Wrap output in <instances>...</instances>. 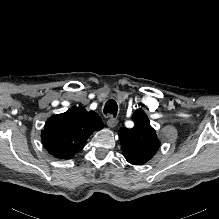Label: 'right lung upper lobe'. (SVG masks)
<instances>
[{
  "instance_id": "obj_1",
  "label": "right lung upper lobe",
  "mask_w": 219,
  "mask_h": 219,
  "mask_svg": "<svg viewBox=\"0 0 219 219\" xmlns=\"http://www.w3.org/2000/svg\"><path fill=\"white\" fill-rule=\"evenodd\" d=\"M104 124L99 115L73 106L66 112L51 116L41 132L47 152L59 159H70L83 149L86 140Z\"/></svg>"
}]
</instances>
